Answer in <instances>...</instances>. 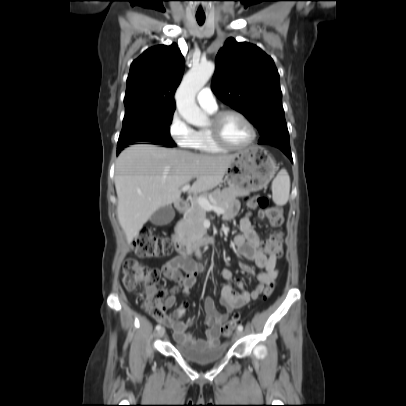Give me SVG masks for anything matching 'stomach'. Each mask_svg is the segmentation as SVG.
I'll use <instances>...</instances> for the list:
<instances>
[{"instance_id": "stomach-1", "label": "stomach", "mask_w": 406, "mask_h": 406, "mask_svg": "<svg viewBox=\"0 0 406 406\" xmlns=\"http://www.w3.org/2000/svg\"><path fill=\"white\" fill-rule=\"evenodd\" d=\"M276 171L272 156L264 148L253 146L236 154L226 180L230 187L256 192L267 186Z\"/></svg>"}]
</instances>
